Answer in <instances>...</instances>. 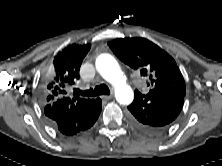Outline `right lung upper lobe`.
Returning <instances> with one entry per match:
<instances>
[{"label":"right lung upper lobe","instance_id":"obj_1","mask_svg":"<svg viewBox=\"0 0 222 166\" xmlns=\"http://www.w3.org/2000/svg\"><path fill=\"white\" fill-rule=\"evenodd\" d=\"M90 48V44H72L56 54L46 76L45 95L60 98L68 97L79 105L81 110L87 108L86 104H89L93 98H71L67 95V90L79 79L80 66Z\"/></svg>","mask_w":222,"mask_h":166}]
</instances>
